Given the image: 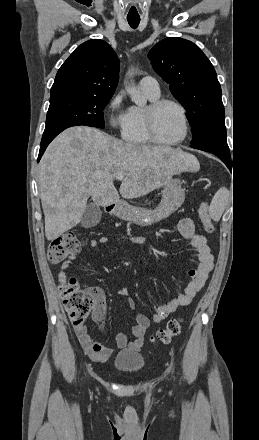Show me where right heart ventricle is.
<instances>
[{
    "mask_svg": "<svg viewBox=\"0 0 259 440\" xmlns=\"http://www.w3.org/2000/svg\"><path fill=\"white\" fill-rule=\"evenodd\" d=\"M147 98L153 102L159 98V96H151L146 94ZM123 139L133 145L146 146L150 145V140L145 124V109L132 106L128 110V123L122 133Z\"/></svg>",
    "mask_w": 259,
    "mask_h": 440,
    "instance_id": "right-heart-ventricle-1",
    "label": "right heart ventricle"
}]
</instances>
